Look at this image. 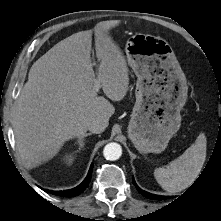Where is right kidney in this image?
Listing matches in <instances>:
<instances>
[{
	"instance_id": "ca27d5eb",
	"label": "right kidney",
	"mask_w": 221,
	"mask_h": 221,
	"mask_svg": "<svg viewBox=\"0 0 221 221\" xmlns=\"http://www.w3.org/2000/svg\"><path fill=\"white\" fill-rule=\"evenodd\" d=\"M63 160H64L66 163L70 164V163L73 162L74 157H73L72 155H65L64 158H63Z\"/></svg>"
}]
</instances>
